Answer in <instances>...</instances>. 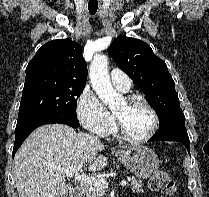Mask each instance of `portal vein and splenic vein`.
Here are the masks:
<instances>
[{
    "label": "portal vein and splenic vein",
    "instance_id": "obj_1",
    "mask_svg": "<svg viewBox=\"0 0 209 197\" xmlns=\"http://www.w3.org/2000/svg\"><path fill=\"white\" fill-rule=\"evenodd\" d=\"M83 164H79L77 166L67 168V169H61V171L69 178H74L77 181H81L90 185H95L101 188H108V182L104 178H96L91 177L85 174H81L80 170L82 168ZM126 181H121V186H126Z\"/></svg>",
    "mask_w": 209,
    "mask_h": 197
}]
</instances>
